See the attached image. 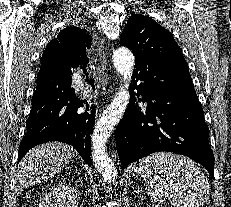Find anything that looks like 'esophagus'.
Wrapping results in <instances>:
<instances>
[{"label":"esophagus","mask_w":231,"mask_h":207,"mask_svg":"<svg viewBox=\"0 0 231 207\" xmlns=\"http://www.w3.org/2000/svg\"><path fill=\"white\" fill-rule=\"evenodd\" d=\"M99 59H100V62L102 64V66H103V69L105 70L106 69L107 59H106V56H105L102 49H99ZM107 80H108V76L105 74L104 78H103V81L107 82Z\"/></svg>","instance_id":"1"}]
</instances>
